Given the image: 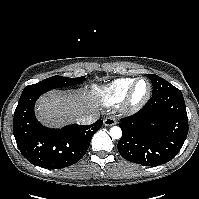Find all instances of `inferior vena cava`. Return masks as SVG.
Listing matches in <instances>:
<instances>
[{"instance_id": "obj_1", "label": "inferior vena cava", "mask_w": 199, "mask_h": 199, "mask_svg": "<svg viewBox=\"0 0 199 199\" xmlns=\"http://www.w3.org/2000/svg\"><path fill=\"white\" fill-rule=\"evenodd\" d=\"M99 117H100L99 112H93V113L81 116L80 118L77 119V122L81 125H90L94 123L95 121H97Z\"/></svg>"}]
</instances>
